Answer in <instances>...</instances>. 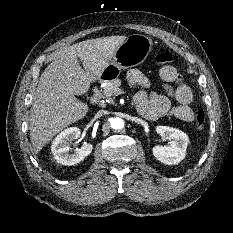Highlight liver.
<instances>
[{"instance_id": "liver-1", "label": "liver", "mask_w": 233, "mask_h": 233, "mask_svg": "<svg viewBox=\"0 0 233 233\" xmlns=\"http://www.w3.org/2000/svg\"><path fill=\"white\" fill-rule=\"evenodd\" d=\"M126 36L91 39L64 47L40 77L30 110V140L37 154L56 134L82 119L85 94L109 65ZM78 58L82 61L80 66Z\"/></svg>"}]
</instances>
